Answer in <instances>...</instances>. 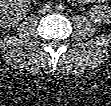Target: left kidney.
Returning a JSON list of instances; mask_svg holds the SVG:
<instances>
[{
	"label": "left kidney",
	"instance_id": "obj_1",
	"mask_svg": "<svg viewBox=\"0 0 111 106\" xmlns=\"http://www.w3.org/2000/svg\"><path fill=\"white\" fill-rule=\"evenodd\" d=\"M105 9V11H104ZM90 12L92 14V17L96 18L97 21H104V22H109L111 18V10L106 9L103 6H95L92 8Z\"/></svg>",
	"mask_w": 111,
	"mask_h": 106
}]
</instances>
